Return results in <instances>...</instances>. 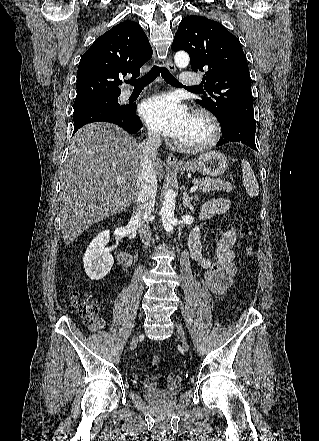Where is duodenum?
<instances>
[{"label":"duodenum","mask_w":319,"mask_h":441,"mask_svg":"<svg viewBox=\"0 0 319 441\" xmlns=\"http://www.w3.org/2000/svg\"><path fill=\"white\" fill-rule=\"evenodd\" d=\"M132 254L129 253L128 251H120L118 254V261L120 264H122L123 266H130L132 264Z\"/></svg>","instance_id":"obj_1"}]
</instances>
